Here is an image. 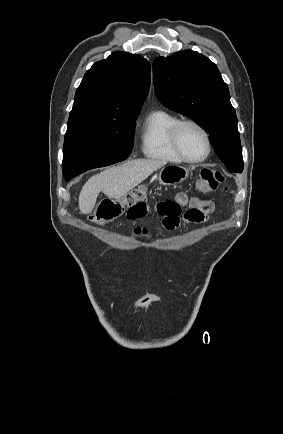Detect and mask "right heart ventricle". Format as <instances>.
<instances>
[{
	"label": "right heart ventricle",
	"instance_id": "right-heart-ventricle-1",
	"mask_svg": "<svg viewBox=\"0 0 283 434\" xmlns=\"http://www.w3.org/2000/svg\"><path fill=\"white\" fill-rule=\"evenodd\" d=\"M180 119L166 111L155 110L147 115L141 132V149L143 154L165 163H182L171 143V131Z\"/></svg>",
	"mask_w": 283,
	"mask_h": 434
}]
</instances>
